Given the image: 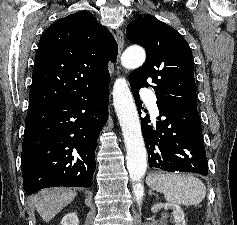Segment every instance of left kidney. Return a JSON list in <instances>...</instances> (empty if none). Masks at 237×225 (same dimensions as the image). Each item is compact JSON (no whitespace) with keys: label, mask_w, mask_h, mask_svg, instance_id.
<instances>
[{"label":"left kidney","mask_w":237,"mask_h":225,"mask_svg":"<svg viewBox=\"0 0 237 225\" xmlns=\"http://www.w3.org/2000/svg\"><path fill=\"white\" fill-rule=\"evenodd\" d=\"M161 208H164L165 210L170 209L173 211V222H175V225H186L184 212L179 205L173 203H157L152 206L151 211L156 213Z\"/></svg>","instance_id":"obj_1"}]
</instances>
